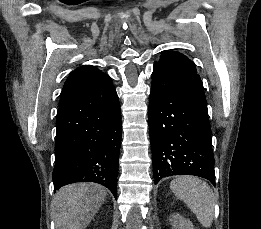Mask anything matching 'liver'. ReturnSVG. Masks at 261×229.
<instances>
[{
    "label": "liver",
    "mask_w": 261,
    "mask_h": 229,
    "mask_svg": "<svg viewBox=\"0 0 261 229\" xmlns=\"http://www.w3.org/2000/svg\"><path fill=\"white\" fill-rule=\"evenodd\" d=\"M106 195L105 187L96 183H74L59 189L52 201L56 229H86Z\"/></svg>",
    "instance_id": "obj_1"
}]
</instances>
